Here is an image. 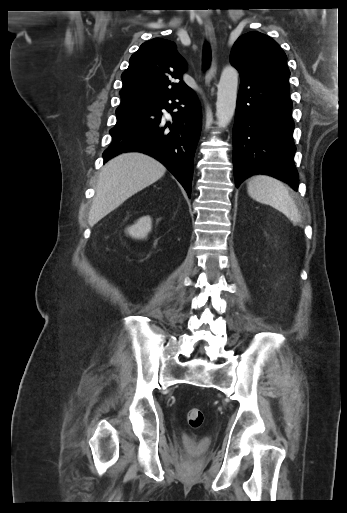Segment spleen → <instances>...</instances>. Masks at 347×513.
<instances>
[{
	"label": "spleen",
	"mask_w": 347,
	"mask_h": 513,
	"mask_svg": "<svg viewBox=\"0 0 347 513\" xmlns=\"http://www.w3.org/2000/svg\"><path fill=\"white\" fill-rule=\"evenodd\" d=\"M247 192L254 200L276 208L295 222L300 221L297 205L281 181L267 175H256L248 181Z\"/></svg>",
	"instance_id": "obj_1"
}]
</instances>
